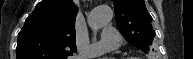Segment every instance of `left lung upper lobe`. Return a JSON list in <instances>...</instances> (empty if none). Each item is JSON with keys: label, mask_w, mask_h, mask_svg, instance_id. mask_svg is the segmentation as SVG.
Instances as JSON below:
<instances>
[{"label": "left lung upper lobe", "mask_w": 193, "mask_h": 59, "mask_svg": "<svg viewBox=\"0 0 193 59\" xmlns=\"http://www.w3.org/2000/svg\"><path fill=\"white\" fill-rule=\"evenodd\" d=\"M116 24L126 40L144 53L151 50L155 32L143 0H112Z\"/></svg>", "instance_id": "1"}]
</instances>
